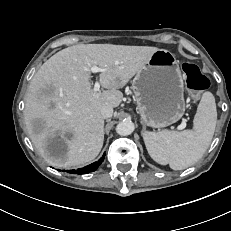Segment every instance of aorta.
Here are the masks:
<instances>
[{
    "instance_id": "762f6f07",
    "label": "aorta",
    "mask_w": 231,
    "mask_h": 231,
    "mask_svg": "<svg viewBox=\"0 0 231 231\" xmlns=\"http://www.w3.org/2000/svg\"><path fill=\"white\" fill-rule=\"evenodd\" d=\"M135 129L134 123L129 120H123L116 126V132L121 136L130 135Z\"/></svg>"
}]
</instances>
